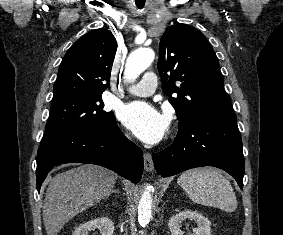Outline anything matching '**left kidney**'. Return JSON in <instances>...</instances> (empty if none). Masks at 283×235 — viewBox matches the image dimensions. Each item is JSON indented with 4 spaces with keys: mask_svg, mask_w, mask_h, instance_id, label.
<instances>
[{
    "mask_svg": "<svg viewBox=\"0 0 283 235\" xmlns=\"http://www.w3.org/2000/svg\"><path fill=\"white\" fill-rule=\"evenodd\" d=\"M194 220L197 228L193 229L191 235H211V222L199 212L185 210L172 216L169 220L168 227L171 235H183L181 232V223L186 219Z\"/></svg>",
    "mask_w": 283,
    "mask_h": 235,
    "instance_id": "5707ae66",
    "label": "left kidney"
}]
</instances>
